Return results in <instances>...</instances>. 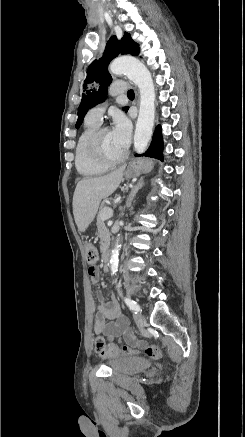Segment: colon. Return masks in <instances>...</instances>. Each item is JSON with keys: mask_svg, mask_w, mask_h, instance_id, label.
Returning <instances> with one entry per match:
<instances>
[{"mask_svg": "<svg viewBox=\"0 0 245 437\" xmlns=\"http://www.w3.org/2000/svg\"><path fill=\"white\" fill-rule=\"evenodd\" d=\"M85 257L89 265V273H93L96 268L97 262V250L91 245L87 244L85 247ZM95 351L100 356L111 355H133L137 353H144L146 356L152 359H159L163 356V350L157 345H147L141 349H137L131 346H117L113 343H106L104 338L97 336L94 341Z\"/></svg>", "mask_w": 245, "mask_h": 437, "instance_id": "5ec220e1", "label": "colon"}]
</instances>
